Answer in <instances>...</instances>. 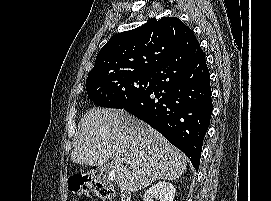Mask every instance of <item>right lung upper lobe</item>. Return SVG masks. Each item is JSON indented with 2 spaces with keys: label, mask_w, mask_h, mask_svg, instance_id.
<instances>
[{
  "label": "right lung upper lobe",
  "mask_w": 271,
  "mask_h": 201,
  "mask_svg": "<svg viewBox=\"0 0 271 201\" xmlns=\"http://www.w3.org/2000/svg\"><path fill=\"white\" fill-rule=\"evenodd\" d=\"M192 33L180 19L163 17L114 35L99 51L89 77L120 73H155Z\"/></svg>",
  "instance_id": "1"
}]
</instances>
